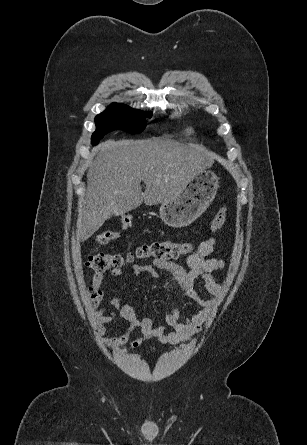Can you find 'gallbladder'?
I'll return each instance as SVG.
<instances>
[{
	"label": "gallbladder",
	"instance_id": "bac80fb5",
	"mask_svg": "<svg viewBox=\"0 0 307 445\" xmlns=\"http://www.w3.org/2000/svg\"><path fill=\"white\" fill-rule=\"evenodd\" d=\"M105 218H106L107 220H110V219L112 218V213H107V214L105 215Z\"/></svg>",
	"mask_w": 307,
	"mask_h": 445
}]
</instances>
